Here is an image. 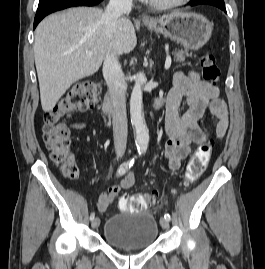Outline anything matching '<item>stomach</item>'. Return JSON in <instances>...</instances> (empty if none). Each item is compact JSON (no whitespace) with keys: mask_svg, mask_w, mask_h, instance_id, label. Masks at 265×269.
I'll list each match as a JSON object with an SVG mask.
<instances>
[{"mask_svg":"<svg viewBox=\"0 0 265 269\" xmlns=\"http://www.w3.org/2000/svg\"><path fill=\"white\" fill-rule=\"evenodd\" d=\"M146 27L190 50L202 48L209 41L213 30L212 23L203 15L181 11L154 19Z\"/></svg>","mask_w":265,"mask_h":269,"instance_id":"stomach-1","label":"stomach"}]
</instances>
